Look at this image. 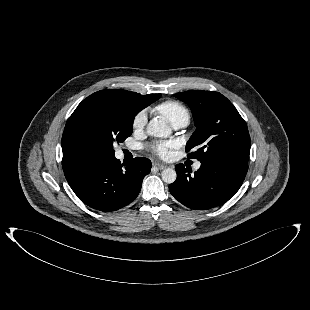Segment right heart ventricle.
<instances>
[{
	"label": "right heart ventricle",
	"instance_id": "e07e8e85",
	"mask_svg": "<svg viewBox=\"0 0 310 310\" xmlns=\"http://www.w3.org/2000/svg\"><path fill=\"white\" fill-rule=\"evenodd\" d=\"M153 110L163 116L170 124H188L190 112L188 108L179 101L167 100L157 104Z\"/></svg>",
	"mask_w": 310,
	"mask_h": 310
}]
</instances>
